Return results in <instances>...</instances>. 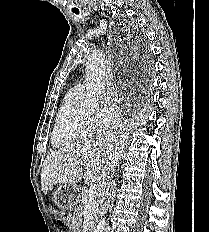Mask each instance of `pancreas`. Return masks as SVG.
Returning a JSON list of instances; mask_svg holds the SVG:
<instances>
[{
    "label": "pancreas",
    "mask_w": 209,
    "mask_h": 232,
    "mask_svg": "<svg viewBox=\"0 0 209 232\" xmlns=\"http://www.w3.org/2000/svg\"><path fill=\"white\" fill-rule=\"evenodd\" d=\"M82 205L85 207L87 205L90 206L89 214H90V219L88 220V227H91L93 225L94 218L96 217V213L98 210V204L97 201L94 197L90 198L88 196V191L83 190L82 191V200H81Z\"/></svg>",
    "instance_id": "1"
}]
</instances>
